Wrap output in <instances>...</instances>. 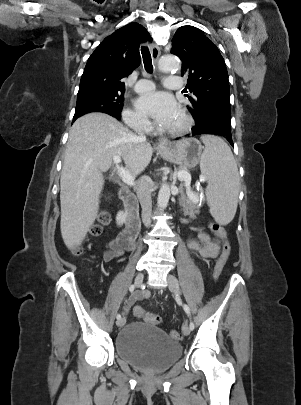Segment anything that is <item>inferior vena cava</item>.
Here are the masks:
<instances>
[{"instance_id": "1", "label": "inferior vena cava", "mask_w": 301, "mask_h": 405, "mask_svg": "<svg viewBox=\"0 0 301 405\" xmlns=\"http://www.w3.org/2000/svg\"><path fill=\"white\" fill-rule=\"evenodd\" d=\"M136 131L139 138L146 141V136L141 129V123L136 125ZM137 196L142 208V221L145 226L151 223L152 200H151V179L148 176H142L137 185Z\"/></svg>"}]
</instances>
